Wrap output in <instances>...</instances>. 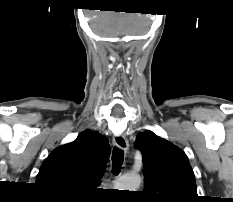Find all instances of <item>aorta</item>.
I'll use <instances>...</instances> for the list:
<instances>
[{
    "label": "aorta",
    "instance_id": "aorta-1",
    "mask_svg": "<svg viewBox=\"0 0 233 202\" xmlns=\"http://www.w3.org/2000/svg\"><path fill=\"white\" fill-rule=\"evenodd\" d=\"M141 184V177L138 175H124L117 181V187L119 190L136 191Z\"/></svg>",
    "mask_w": 233,
    "mask_h": 202
}]
</instances>
